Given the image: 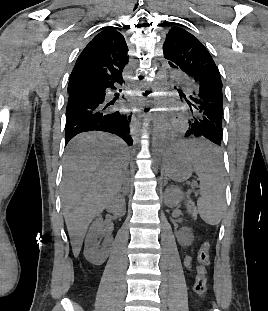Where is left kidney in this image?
Masks as SVG:
<instances>
[{
	"mask_svg": "<svg viewBox=\"0 0 268 311\" xmlns=\"http://www.w3.org/2000/svg\"><path fill=\"white\" fill-rule=\"evenodd\" d=\"M165 194H166L165 204L168 207H175L184 198L181 190L174 186H171L170 188H168ZM177 239L181 246L186 247V246L191 245L194 239V236H193L191 229L182 228L178 233Z\"/></svg>",
	"mask_w": 268,
	"mask_h": 311,
	"instance_id": "1",
	"label": "left kidney"
}]
</instances>
